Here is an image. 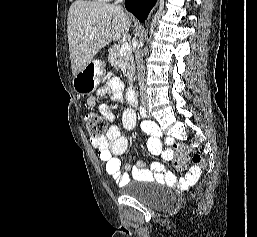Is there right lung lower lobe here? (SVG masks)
Segmentation results:
<instances>
[{"mask_svg":"<svg viewBox=\"0 0 257 237\" xmlns=\"http://www.w3.org/2000/svg\"><path fill=\"white\" fill-rule=\"evenodd\" d=\"M155 2L156 0H125V7L135 15L140 22H144Z\"/></svg>","mask_w":257,"mask_h":237,"instance_id":"98d812e1","label":"right lung lower lobe"}]
</instances>
